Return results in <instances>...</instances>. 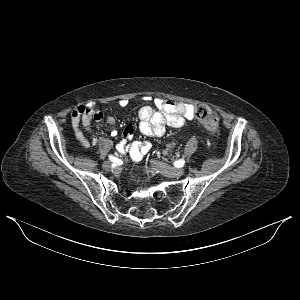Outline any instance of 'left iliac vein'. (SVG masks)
Returning <instances> with one entry per match:
<instances>
[{
	"label": "left iliac vein",
	"mask_w": 300,
	"mask_h": 300,
	"mask_svg": "<svg viewBox=\"0 0 300 300\" xmlns=\"http://www.w3.org/2000/svg\"><path fill=\"white\" fill-rule=\"evenodd\" d=\"M153 168L159 170L164 176L169 178L180 177L184 174L183 168H174L156 160L150 161Z\"/></svg>",
	"instance_id": "1"
}]
</instances>
